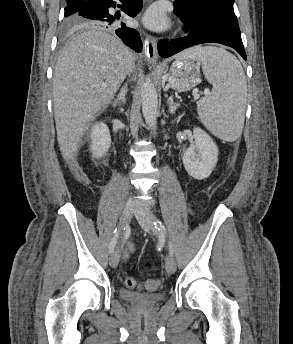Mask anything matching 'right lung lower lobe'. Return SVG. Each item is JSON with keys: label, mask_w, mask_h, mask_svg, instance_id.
Returning <instances> with one entry per match:
<instances>
[{"label": "right lung lower lobe", "mask_w": 293, "mask_h": 344, "mask_svg": "<svg viewBox=\"0 0 293 344\" xmlns=\"http://www.w3.org/2000/svg\"><path fill=\"white\" fill-rule=\"evenodd\" d=\"M123 3V12L130 17H135L142 8V0H120ZM116 2L113 0H86L81 3L78 15L89 20L96 21L98 26L108 28L115 32L122 41L135 50L142 51V41L139 33L127 27L123 22L117 21L120 16L109 13V8H115Z\"/></svg>", "instance_id": "1"}]
</instances>
